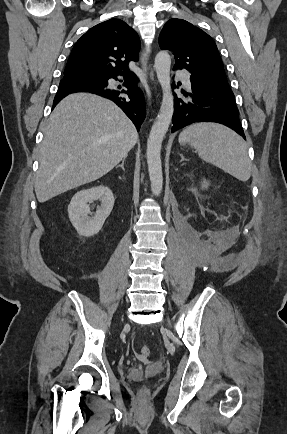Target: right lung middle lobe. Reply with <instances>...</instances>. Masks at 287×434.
<instances>
[{
    "label": "right lung middle lobe",
    "instance_id": "1",
    "mask_svg": "<svg viewBox=\"0 0 287 434\" xmlns=\"http://www.w3.org/2000/svg\"><path fill=\"white\" fill-rule=\"evenodd\" d=\"M67 78L74 81H101L103 79V76L95 74H79L69 75L67 76Z\"/></svg>",
    "mask_w": 287,
    "mask_h": 434
}]
</instances>
